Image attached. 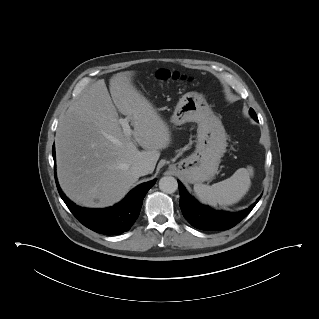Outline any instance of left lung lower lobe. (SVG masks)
Returning a JSON list of instances; mask_svg holds the SVG:
<instances>
[{"instance_id":"0a47b994","label":"left lung lower lobe","mask_w":319,"mask_h":319,"mask_svg":"<svg viewBox=\"0 0 319 319\" xmlns=\"http://www.w3.org/2000/svg\"><path fill=\"white\" fill-rule=\"evenodd\" d=\"M255 120H258V118ZM178 185L180 192V208L184 217L195 228L206 231L227 230L232 228L252 211L256 203L261 198L260 196L253 205L242 211H216L198 203L187 193L179 181Z\"/></svg>"}]
</instances>
